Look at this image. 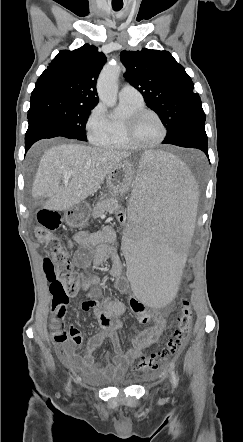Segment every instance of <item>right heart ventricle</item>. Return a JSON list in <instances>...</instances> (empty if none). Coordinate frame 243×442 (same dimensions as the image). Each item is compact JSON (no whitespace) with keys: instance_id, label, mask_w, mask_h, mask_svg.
<instances>
[{"instance_id":"right-heart-ventricle-1","label":"right heart ventricle","mask_w":243,"mask_h":442,"mask_svg":"<svg viewBox=\"0 0 243 442\" xmlns=\"http://www.w3.org/2000/svg\"><path fill=\"white\" fill-rule=\"evenodd\" d=\"M144 107L143 102H129L120 100L119 108L115 114L106 117L104 131L93 142L101 147L117 150H129L130 146L125 138V121L137 110Z\"/></svg>"}]
</instances>
